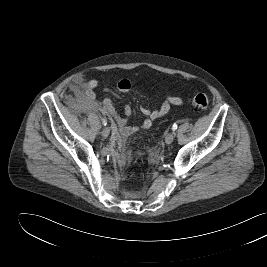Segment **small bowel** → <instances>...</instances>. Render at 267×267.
Here are the masks:
<instances>
[{
	"label": "small bowel",
	"mask_w": 267,
	"mask_h": 267,
	"mask_svg": "<svg viewBox=\"0 0 267 267\" xmlns=\"http://www.w3.org/2000/svg\"><path fill=\"white\" fill-rule=\"evenodd\" d=\"M97 86L98 81L95 79L84 81L81 77H77L69 86V90L73 95L81 97L88 108L98 110L108 116L112 122L113 131L122 137L129 136L140 128H150L154 121L169 114L172 106L184 104V100L181 97L168 96L162 100L157 108H141L140 113L146 119L139 126H129L128 117L132 114L131 107L125 106L123 112L126 117H121L109 98H104L101 102L96 101L95 89ZM117 87L120 92L128 93L131 90V82L128 79H122L118 82Z\"/></svg>",
	"instance_id": "1"
}]
</instances>
